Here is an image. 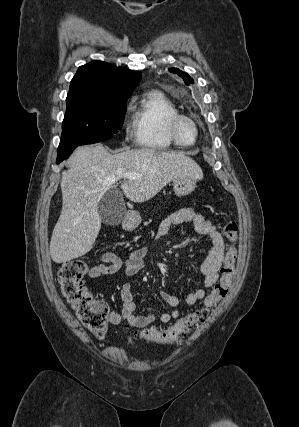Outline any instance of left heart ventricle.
<instances>
[{"mask_svg":"<svg viewBox=\"0 0 299 427\" xmlns=\"http://www.w3.org/2000/svg\"><path fill=\"white\" fill-rule=\"evenodd\" d=\"M178 135L182 142L191 143L195 138V129L191 122L183 120L178 125Z\"/></svg>","mask_w":299,"mask_h":427,"instance_id":"left-heart-ventricle-1","label":"left heart ventricle"}]
</instances>
